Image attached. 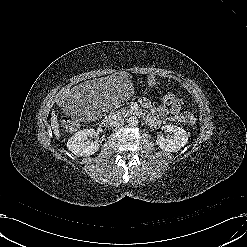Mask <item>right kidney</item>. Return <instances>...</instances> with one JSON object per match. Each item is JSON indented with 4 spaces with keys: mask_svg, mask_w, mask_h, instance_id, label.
Segmentation results:
<instances>
[{
    "mask_svg": "<svg viewBox=\"0 0 247 247\" xmlns=\"http://www.w3.org/2000/svg\"><path fill=\"white\" fill-rule=\"evenodd\" d=\"M96 135L94 129H83L75 133L67 142L68 149L78 157L90 156L98 151L99 143L97 141H87L88 137Z\"/></svg>",
    "mask_w": 247,
    "mask_h": 247,
    "instance_id": "obj_1",
    "label": "right kidney"
}]
</instances>
